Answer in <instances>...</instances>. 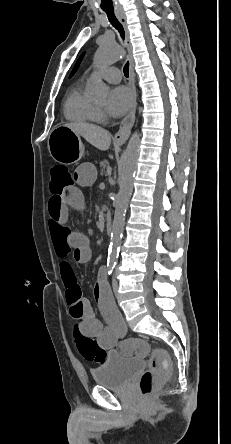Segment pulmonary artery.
<instances>
[{
    "instance_id": "obj_1",
    "label": "pulmonary artery",
    "mask_w": 231,
    "mask_h": 444,
    "mask_svg": "<svg viewBox=\"0 0 231 444\" xmlns=\"http://www.w3.org/2000/svg\"><path fill=\"white\" fill-rule=\"evenodd\" d=\"M101 76L110 83H118L121 80V73L119 69L115 67H110L101 71Z\"/></svg>"
}]
</instances>
